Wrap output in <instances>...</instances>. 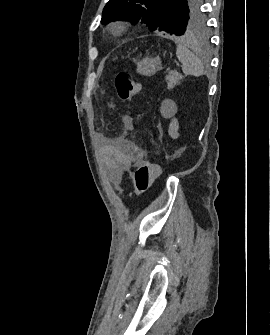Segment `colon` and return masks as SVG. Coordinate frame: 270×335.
I'll use <instances>...</instances> for the list:
<instances>
[{
  "mask_svg": "<svg viewBox=\"0 0 270 335\" xmlns=\"http://www.w3.org/2000/svg\"><path fill=\"white\" fill-rule=\"evenodd\" d=\"M115 87L121 100H129L136 96L141 87L129 71H120L115 76ZM140 163L132 174V182L138 194L145 193L154 183L158 168L150 161L145 150L136 148Z\"/></svg>",
  "mask_w": 270,
  "mask_h": 335,
  "instance_id": "obj_1",
  "label": "colon"
}]
</instances>
